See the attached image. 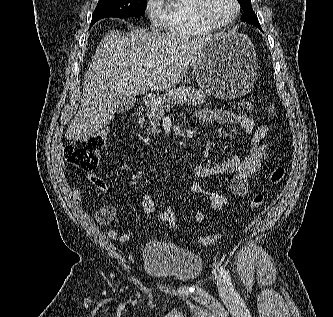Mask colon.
I'll return each instance as SVG.
<instances>
[{"mask_svg":"<svg viewBox=\"0 0 333 317\" xmlns=\"http://www.w3.org/2000/svg\"><path fill=\"white\" fill-rule=\"evenodd\" d=\"M242 109L246 111L253 110V104L250 101L242 100L239 102ZM106 139L103 133H96L84 139H78L67 145L64 150L65 160L84 171H93L97 168L100 160V154L105 147ZM286 176V167L284 165L275 166L270 172L267 185L272 187L280 184ZM265 200L264 192L256 193L251 201L252 209L259 208ZM155 217L162 223L171 228L177 227V218L173 209L166 207L156 209ZM221 238L219 235L205 236L198 239L199 243L205 246L215 244Z\"/></svg>","mask_w":333,"mask_h":317,"instance_id":"obj_1","label":"colon"}]
</instances>
